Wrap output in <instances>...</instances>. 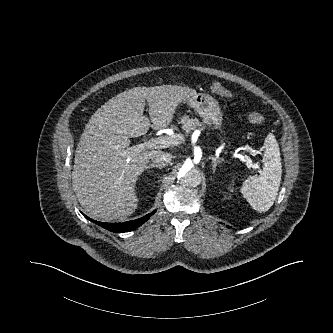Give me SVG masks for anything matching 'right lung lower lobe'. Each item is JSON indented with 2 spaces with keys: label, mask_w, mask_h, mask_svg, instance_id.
<instances>
[{
  "label": "right lung lower lobe",
  "mask_w": 333,
  "mask_h": 333,
  "mask_svg": "<svg viewBox=\"0 0 333 333\" xmlns=\"http://www.w3.org/2000/svg\"><path fill=\"white\" fill-rule=\"evenodd\" d=\"M155 213V211L147 214L146 216L136 219V220H132V221H128L125 223H106V222H97L95 220L90 219L89 217H87L85 214H83L87 219H89L90 221H92L93 223H96L97 225L115 232V233H123V232H129L132 231L134 229H136L137 227H139L140 225H142L144 222H146L149 217L151 215H153Z\"/></svg>",
  "instance_id": "right-lung-lower-lobe-1"
}]
</instances>
